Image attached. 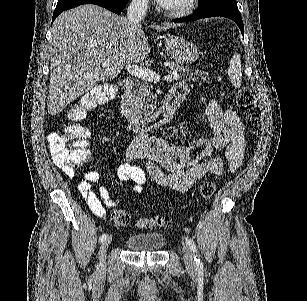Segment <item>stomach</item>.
Returning a JSON list of instances; mask_svg holds the SVG:
<instances>
[{
	"mask_svg": "<svg viewBox=\"0 0 307 301\" xmlns=\"http://www.w3.org/2000/svg\"><path fill=\"white\" fill-rule=\"evenodd\" d=\"M165 46L167 52L171 54V58H174L177 64H192L201 54L194 42L186 40L185 36H179V34L166 36Z\"/></svg>",
	"mask_w": 307,
	"mask_h": 301,
	"instance_id": "obj_1",
	"label": "stomach"
}]
</instances>
